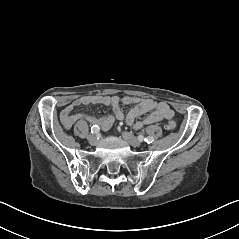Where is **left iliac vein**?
Wrapping results in <instances>:
<instances>
[{"label": "left iliac vein", "mask_w": 239, "mask_h": 239, "mask_svg": "<svg viewBox=\"0 0 239 239\" xmlns=\"http://www.w3.org/2000/svg\"><path fill=\"white\" fill-rule=\"evenodd\" d=\"M123 139L133 147H139L141 145L140 140H138L135 136L130 134L129 132L122 133Z\"/></svg>", "instance_id": "obj_1"}]
</instances>
